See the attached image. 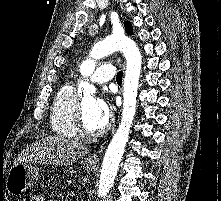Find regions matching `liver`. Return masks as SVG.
Listing matches in <instances>:
<instances>
[{"instance_id":"obj_1","label":"liver","mask_w":221,"mask_h":201,"mask_svg":"<svg viewBox=\"0 0 221 201\" xmlns=\"http://www.w3.org/2000/svg\"><path fill=\"white\" fill-rule=\"evenodd\" d=\"M87 153V148L77 141L47 136L26 148L16 162L70 165Z\"/></svg>"}]
</instances>
